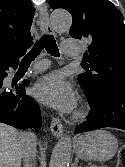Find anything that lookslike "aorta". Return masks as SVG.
Returning a JSON list of instances; mask_svg holds the SVG:
<instances>
[{
    "label": "aorta",
    "instance_id": "1",
    "mask_svg": "<svg viewBox=\"0 0 125 167\" xmlns=\"http://www.w3.org/2000/svg\"><path fill=\"white\" fill-rule=\"evenodd\" d=\"M51 25L56 31H64L70 28L72 17L66 11H54L50 16ZM71 160L70 138H62L55 146L49 167H69Z\"/></svg>",
    "mask_w": 125,
    "mask_h": 167
}]
</instances>
